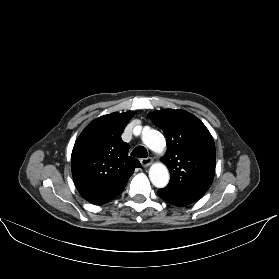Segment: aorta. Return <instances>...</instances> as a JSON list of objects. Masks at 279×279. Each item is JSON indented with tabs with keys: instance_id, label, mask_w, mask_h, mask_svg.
<instances>
[{
	"instance_id": "obj_1",
	"label": "aorta",
	"mask_w": 279,
	"mask_h": 279,
	"mask_svg": "<svg viewBox=\"0 0 279 279\" xmlns=\"http://www.w3.org/2000/svg\"><path fill=\"white\" fill-rule=\"evenodd\" d=\"M143 143L153 152L161 153L165 148L163 135L154 129H148L142 134ZM149 178L157 188H164L169 182V171L162 163H155L150 167Z\"/></svg>"
}]
</instances>
